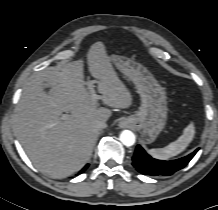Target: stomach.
<instances>
[{"mask_svg": "<svg viewBox=\"0 0 218 210\" xmlns=\"http://www.w3.org/2000/svg\"><path fill=\"white\" fill-rule=\"evenodd\" d=\"M111 62L131 80L141 97L139 110L128 119L146 143H152L164 129L167 120V97L163 87L139 63L110 55Z\"/></svg>", "mask_w": 218, "mask_h": 210, "instance_id": "1", "label": "stomach"}]
</instances>
